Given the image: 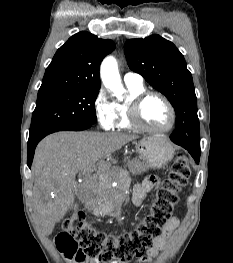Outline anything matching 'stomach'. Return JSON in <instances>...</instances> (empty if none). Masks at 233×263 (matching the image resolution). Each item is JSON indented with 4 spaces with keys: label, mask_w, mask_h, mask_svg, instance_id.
<instances>
[{
    "label": "stomach",
    "mask_w": 233,
    "mask_h": 263,
    "mask_svg": "<svg viewBox=\"0 0 233 263\" xmlns=\"http://www.w3.org/2000/svg\"><path fill=\"white\" fill-rule=\"evenodd\" d=\"M137 160L131 163L133 173H140L148 168H161L174 156L170 142L160 136H145L136 142Z\"/></svg>",
    "instance_id": "stomach-1"
}]
</instances>
